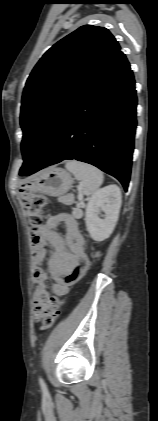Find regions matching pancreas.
Listing matches in <instances>:
<instances>
[{
    "label": "pancreas",
    "instance_id": "obj_1",
    "mask_svg": "<svg viewBox=\"0 0 158 421\" xmlns=\"http://www.w3.org/2000/svg\"><path fill=\"white\" fill-rule=\"evenodd\" d=\"M69 199H73V197L71 196V197H63V198H61V200H62L63 203L71 204L72 202H69L68 201Z\"/></svg>",
    "mask_w": 158,
    "mask_h": 421
}]
</instances>
